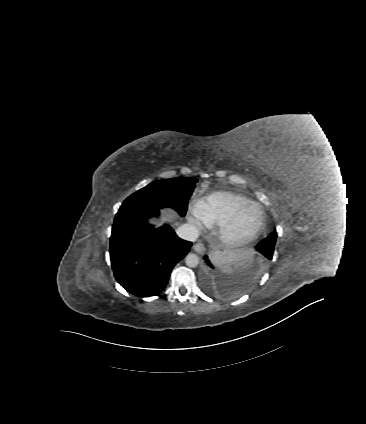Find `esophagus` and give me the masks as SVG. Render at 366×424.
Here are the masks:
<instances>
[{"label": "esophagus", "mask_w": 366, "mask_h": 424, "mask_svg": "<svg viewBox=\"0 0 366 424\" xmlns=\"http://www.w3.org/2000/svg\"><path fill=\"white\" fill-rule=\"evenodd\" d=\"M193 249H194L196 252H198V253H203V252H204V250H205V246H204V244H202V243H196V244L193 246Z\"/></svg>", "instance_id": "34e87169"}]
</instances>
